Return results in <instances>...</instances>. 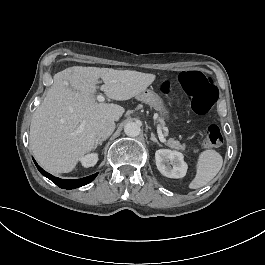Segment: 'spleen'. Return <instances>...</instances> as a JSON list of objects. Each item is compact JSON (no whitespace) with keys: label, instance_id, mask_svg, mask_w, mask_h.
<instances>
[{"label":"spleen","instance_id":"spleen-1","mask_svg":"<svg viewBox=\"0 0 265 265\" xmlns=\"http://www.w3.org/2000/svg\"><path fill=\"white\" fill-rule=\"evenodd\" d=\"M223 165L222 155L213 149H206L198 154L195 169L196 174L189 182V189H198L210 182L220 171Z\"/></svg>","mask_w":265,"mask_h":265}]
</instances>
